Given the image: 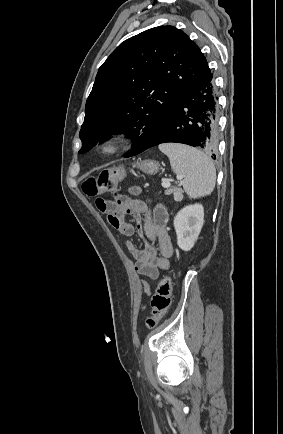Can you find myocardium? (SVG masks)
<instances>
[{
  "mask_svg": "<svg viewBox=\"0 0 283 434\" xmlns=\"http://www.w3.org/2000/svg\"><path fill=\"white\" fill-rule=\"evenodd\" d=\"M97 148L98 151L103 155H114L121 148V139L116 134H108L98 142Z\"/></svg>",
  "mask_w": 283,
  "mask_h": 434,
  "instance_id": "myocardium-1",
  "label": "myocardium"
}]
</instances>
